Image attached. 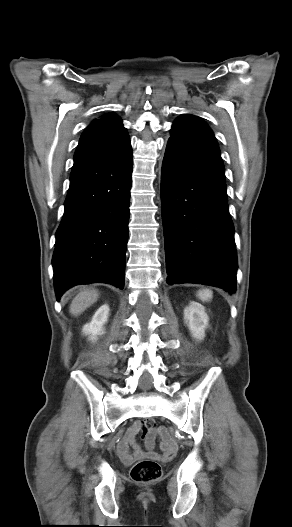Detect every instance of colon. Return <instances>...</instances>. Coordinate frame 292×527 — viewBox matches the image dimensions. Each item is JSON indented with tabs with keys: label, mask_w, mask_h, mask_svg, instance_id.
<instances>
[{
	"label": "colon",
	"mask_w": 292,
	"mask_h": 527,
	"mask_svg": "<svg viewBox=\"0 0 292 527\" xmlns=\"http://www.w3.org/2000/svg\"><path fill=\"white\" fill-rule=\"evenodd\" d=\"M154 424L155 423L152 420H145L142 422V427L145 430H153ZM130 474L131 478L136 482L151 483L157 481L161 477L162 470L158 463H152L151 459H143L134 464Z\"/></svg>",
	"instance_id": "5ec220e1"
}]
</instances>
